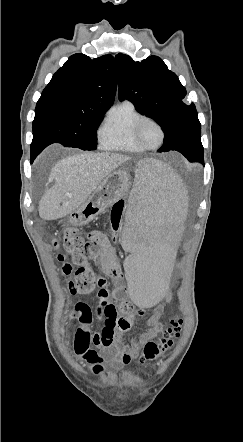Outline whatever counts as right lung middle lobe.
<instances>
[{"label": "right lung middle lobe", "mask_w": 243, "mask_h": 442, "mask_svg": "<svg viewBox=\"0 0 243 442\" xmlns=\"http://www.w3.org/2000/svg\"><path fill=\"white\" fill-rule=\"evenodd\" d=\"M105 111H83L64 103L38 100L33 121V143H60L65 147L95 150L96 130Z\"/></svg>", "instance_id": "obj_1"}]
</instances>
